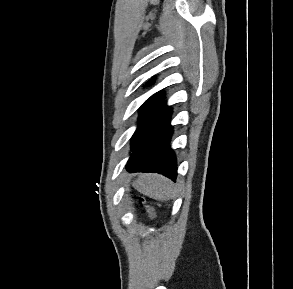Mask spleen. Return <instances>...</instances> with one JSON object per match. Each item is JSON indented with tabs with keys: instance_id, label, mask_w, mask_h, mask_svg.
Wrapping results in <instances>:
<instances>
[{
	"instance_id": "obj_1",
	"label": "spleen",
	"mask_w": 293,
	"mask_h": 289,
	"mask_svg": "<svg viewBox=\"0 0 293 289\" xmlns=\"http://www.w3.org/2000/svg\"><path fill=\"white\" fill-rule=\"evenodd\" d=\"M133 186L156 200H170L175 194L173 183L157 174H142L135 180Z\"/></svg>"
}]
</instances>
